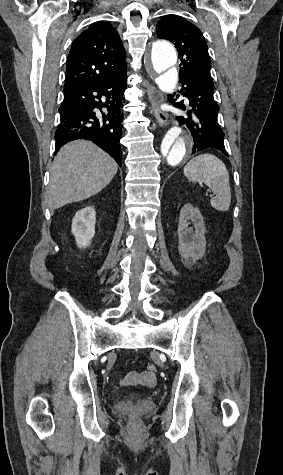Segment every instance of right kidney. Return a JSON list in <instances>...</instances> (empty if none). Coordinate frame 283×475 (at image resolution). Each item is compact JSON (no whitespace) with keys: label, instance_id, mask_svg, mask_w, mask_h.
Returning a JSON list of instances; mask_svg holds the SVG:
<instances>
[{"label":"right kidney","instance_id":"right-kidney-1","mask_svg":"<svg viewBox=\"0 0 283 475\" xmlns=\"http://www.w3.org/2000/svg\"><path fill=\"white\" fill-rule=\"evenodd\" d=\"M95 210L93 206H87L76 212L72 220V234L75 236L78 247H87L95 234Z\"/></svg>","mask_w":283,"mask_h":475}]
</instances>
